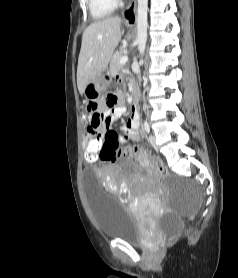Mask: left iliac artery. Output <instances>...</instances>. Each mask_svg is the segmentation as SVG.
Returning <instances> with one entry per match:
<instances>
[{"mask_svg":"<svg viewBox=\"0 0 238 278\" xmlns=\"http://www.w3.org/2000/svg\"><path fill=\"white\" fill-rule=\"evenodd\" d=\"M144 129H145V131H146L147 133L150 132V127H149V124H148L147 121H144Z\"/></svg>","mask_w":238,"mask_h":278,"instance_id":"obj_1","label":"left iliac artery"}]
</instances>
